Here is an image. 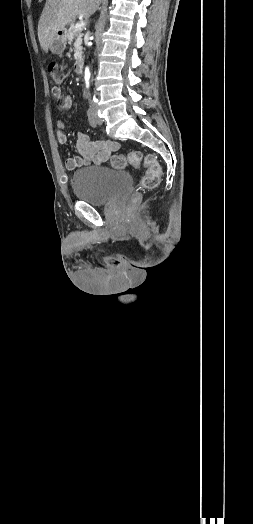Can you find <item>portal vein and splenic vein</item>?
<instances>
[{
    "mask_svg": "<svg viewBox=\"0 0 253 524\" xmlns=\"http://www.w3.org/2000/svg\"><path fill=\"white\" fill-rule=\"evenodd\" d=\"M86 26V22L85 21H80L79 23L76 24V29H79L81 30L82 28H84Z\"/></svg>",
    "mask_w": 253,
    "mask_h": 524,
    "instance_id": "portal-vein-and-splenic-vein-1",
    "label": "portal vein and splenic vein"
}]
</instances>
